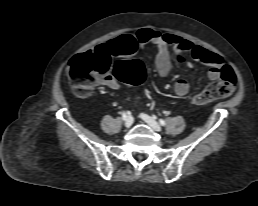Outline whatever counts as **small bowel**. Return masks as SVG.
<instances>
[{"mask_svg":"<svg viewBox=\"0 0 258 206\" xmlns=\"http://www.w3.org/2000/svg\"><path fill=\"white\" fill-rule=\"evenodd\" d=\"M154 45L157 48L155 68L159 76L167 77L174 69L175 61L191 65L186 55L193 60L201 62L209 67L208 77L211 80L220 78L223 68L222 57L202 46L183 39L174 34L160 33L151 29H143L136 34L121 35L106 44H101L93 50L105 51L108 55L120 57L132 54L138 47ZM172 47L174 55L170 51ZM104 84L111 89H118L119 83L114 77L104 80ZM177 96L184 97L189 91V83L185 79H179L174 86Z\"/></svg>","mask_w":258,"mask_h":206,"instance_id":"small-bowel-1","label":"small bowel"}]
</instances>
